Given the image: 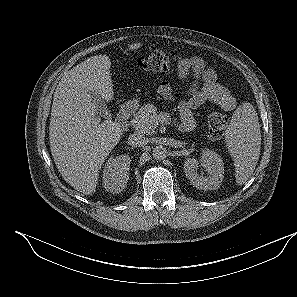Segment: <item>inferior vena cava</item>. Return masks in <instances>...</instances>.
<instances>
[{"mask_svg":"<svg viewBox=\"0 0 297 297\" xmlns=\"http://www.w3.org/2000/svg\"><path fill=\"white\" fill-rule=\"evenodd\" d=\"M148 143V138L142 134L135 133L128 137V144L132 147H143Z\"/></svg>","mask_w":297,"mask_h":297,"instance_id":"inferior-vena-cava-1","label":"inferior vena cava"}]
</instances>
